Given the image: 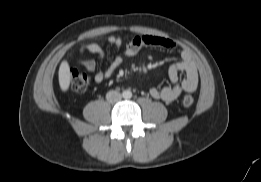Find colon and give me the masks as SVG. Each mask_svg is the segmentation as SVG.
I'll return each mask as SVG.
<instances>
[{"mask_svg": "<svg viewBox=\"0 0 261 182\" xmlns=\"http://www.w3.org/2000/svg\"><path fill=\"white\" fill-rule=\"evenodd\" d=\"M90 87V77L85 73L71 71L70 88L79 93H85ZM194 103V98L191 95H186L183 98V104L186 107Z\"/></svg>", "mask_w": 261, "mask_h": 182, "instance_id": "colon-1", "label": "colon"}]
</instances>
